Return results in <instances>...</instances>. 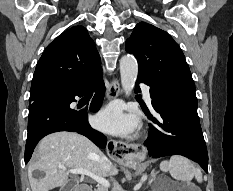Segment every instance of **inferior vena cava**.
I'll list each match as a JSON object with an SVG mask.
<instances>
[{"label":"inferior vena cava","instance_id":"602c4592","mask_svg":"<svg viewBox=\"0 0 233 191\" xmlns=\"http://www.w3.org/2000/svg\"><path fill=\"white\" fill-rule=\"evenodd\" d=\"M99 165L104 171H110L112 168V163L106 156H102L100 158ZM112 191H122V188L117 182H115Z\"/></svg>","mask_w":233,"mask_h":191}]
</instances>
